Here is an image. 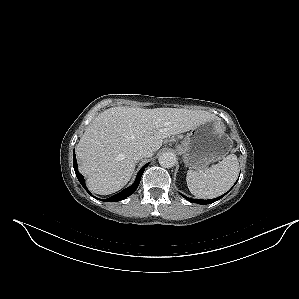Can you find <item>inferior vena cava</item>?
<instances>
[{
  "label": "inferior vena cava",
  "mask_w": 299,
  "mask_h": 299,
  "mask_svg": "<svg viewBox=\"0 0 299 299\" xmlns=\"http://www.w3.org/2000/svg\"><path fill=\"white\" fill-rule=\"evenodd\" d=\"M153 154H152V151L150 150H147V149H141L139 150L135 156H134V159L135 160H139V159H142L144 157H151Z\"/></svg>",
  "instance_id": "obj_1"
}]
</instances>
